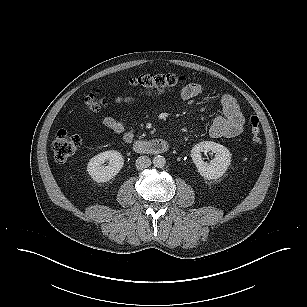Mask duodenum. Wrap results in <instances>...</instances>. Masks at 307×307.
Masks as SVG:
<instances>
[{"instance_id": "obj_1", "label": "duodenum", "mask_w": 307, "mask_h": 307, "mask_svg": "<svg viewBox=\"0 0 307 307\" xmlns=\"http://www.w3.org/2000/svg\"><path fill=\"white\" fill-rule=\"evenodd\" d=\"M133 147L138 152L147 154H163L168 150L164 140L159 138L141 139L134 142Z\"/></svg>"}]
</instances>
